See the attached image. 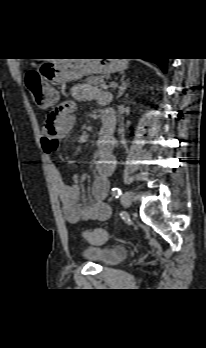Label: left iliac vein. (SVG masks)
I'll return each mask as SVG.
<instances>
[{"label":"left iliac vein","mask_w":206,"mask_h":348,"mask_svg":"<svg viewBox=\"0 0 206 348\" xmlns=\"http://www.w3.org/2000/svg\"><path fill=\"white\" fill-rule=\"evenodd\" d=\"M121 204L125 207V208H129L132 204V200H133V195L131 192L129 191H125L122 196H121Z\"/></svg>","instance_id":"left-iliac-vein-1"}]
</instances>
